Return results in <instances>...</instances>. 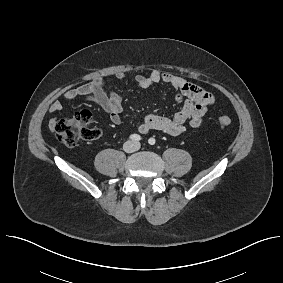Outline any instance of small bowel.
Segmentation results:
<instances>
[{
    "label": "small bowel",
    "instance_id": "obj_1",
    "mask_svg": "<svg viewBox=\"0 0 283 283\" xmlns=\"http://www.w3.org/2000/svg\"><path fill=\"white\" fill-rule=\"evenodd\" d=\"M117 79L123 80L126 75L118 73ZM137 86L149 88L156 84H165L177 91L181 109L171 118L159 115L157 112L148 113L138 125L141 134H147L151 130H159L172 136L182 134L187 127L198 128L201 126L208 108L214 103V96L208 90L187 81L186 79L167 72L152 70L148 75L135 77ZM78 97H86L102 109L110 117L113 124H120L123 102L121 96L113 89L107 88L102 79H95L85 85L67 91L63 99L67 102ZM63 107L60 101H53L49 106V112L55 115L61 113ZM56 117L50 125L54 126Z\"/></svg>",
    "mask_w": 283,
    "mask_h": 283
}]
</instances>
